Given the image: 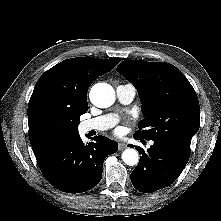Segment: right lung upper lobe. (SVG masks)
<instances>
[{
  "instance_id": "obj_1",
  "label": "right lung upper lobe",
  "mask_w": 221,
  "mask_h": 221,
  "mask_svg": "<svg viewBox=\"0 0 221 221\" xmlns=\"http://www.w3.org/2000/svg\"><path fill=\"white\" fill-rule=\"evenodd\" d=\"M119 61L120 58H71L42 74L28 105L29 138L35 156L76 136L61 127L59 120L86 113L90 85Z\"/></svg>"
}]
</instances>
